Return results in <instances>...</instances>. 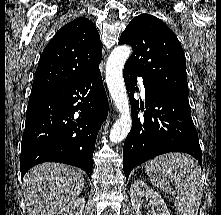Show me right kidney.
Segmentation results:
<instances>
[{"label":"right kidney","instance_id":"ca27d5eb","mask_svg":"<svg viewBox=\"0 0 221 215\" xmlns=\"http://www.w3.org/2000/svg\"><path fill=\"white\" fill-rule=\"evenodd\" d=\"M85 207V199L77 198L62 208L57 215H82Z\"/></svg>","mask_w":221,"mask_h":215}]
</instances>
